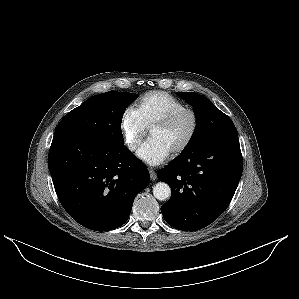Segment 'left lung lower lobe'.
<instances>
[{
  "instance_id": "left-lung-lower-lobe-1",
  "label": "left lung lower lobe",
  "mask_w": 299,
  "mask_h": 299,
  "mask_svg": "<svg viewBox=\"0 0 299 299\" xmlns=\"http://www.w3.org/2000/svg\"><path fill=\"white\" fill-rule=\"evenodd\" d=\"M243 170L236 129L212 140L203 149L175 158L157 177L172 189L161 206L172 227L200 230L215 221L230 204Z\"/></svg>"
}]
</instances>
